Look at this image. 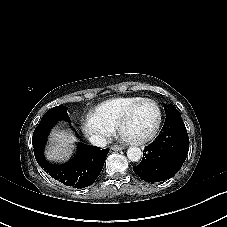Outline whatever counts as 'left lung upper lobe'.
I'll use <instances>...</instances> for the list:
<instances>
[{
	"instance_id": "obj_1",
	"label": "left lung upper lobe",
	"mask_w": 227,
	"mask_h": 227,
	"mask_svg": "<svg viewBox=\"0 0 227 227\" xmlns=\"http://www.w3.org/2000/svg\"><path fill=\"white\" fill-rule=\"evenodd\" d=\"M166 117H181L180 112L172 104H164Z\"/></svg>"
}]
</instances>
